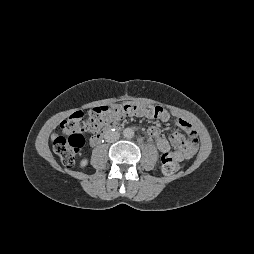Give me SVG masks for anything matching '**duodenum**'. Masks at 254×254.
<instances>
[{
  "instance_id": "obj_1",
  "label": "duodenum",
  "mask_w": 254,
  "mask_h": 254,
  "mask_svg": "<svg viewBox=\"0 0 254 254\" xmlns=\"http://www.w3.org/2000/svg\"><path fill=\"white\" fill-rule=\"evenodd\" d=\"M114 129L119 130V129H121V126H120V125H116V126H114ZM110 131H111L110 129H106V130H103V131L98 132V133H96L95 135H93V136L91 137V139H90L91 145H93V146L98 145V144L103 140V138H104L106 135H108V133H109Z\"/></svg>"
}]
</instances>
